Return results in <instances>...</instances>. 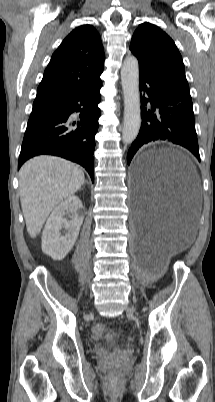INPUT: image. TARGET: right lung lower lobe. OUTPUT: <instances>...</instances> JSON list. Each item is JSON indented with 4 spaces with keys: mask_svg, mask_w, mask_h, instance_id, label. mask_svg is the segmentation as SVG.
<instances>
[{
    "mask_svg": "<svg viewBox=\"0 0 215 402\" xmlns=\"http://www.w3.org/2000/svg\"><path fill=\"white\" fill-rule=\"evenodd\" d=\"M100 77L92 84L59 100L56 106L28 123L18 169L31 157L56 155L83 166L94 181V149L100 117ZM79 112L78 118L73 113Z\"/></svg>",
    "mask_w": 215,
    "mask_h": 402,
    "instance_id": "98d812e1",
    "label": "right lung lower lobe"
}]
</instances>
